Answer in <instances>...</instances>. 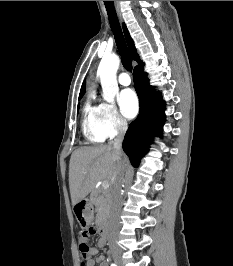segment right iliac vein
<instances>
[{"label":"right iliac vein","mask_w":233,"mask_h":266,"mask_svg":"<svg viewBox=\"0 0 233 266\" xmlns=\"http://www.w3.org/2000/svg\"><path fill=\"white\" fill-rule=\"evenodd\" d=\"M112 256H113L115 262L118 264L117 266H121L120 265V256H119V253L117 251H113L112 252Z\"/></svg>","instance_id":"1"}]
</instances>
